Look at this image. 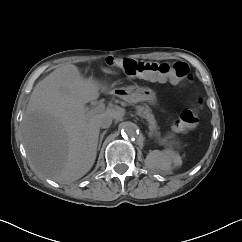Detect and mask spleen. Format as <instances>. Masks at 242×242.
I'll return each mask as SVG.
<instances>
[{
	"label": "spleen",
	"instance_id": "1",
	"mask_svg": "<svg viewBox=\"0 0 242 242\" xmlns=\"http://www.w3.org/2000/svg\"><path fill=\"white\" fill-rule=\"evenodd\" d=\"M180 160V156L171 150H154L149 153L146 162L151 168L160 169L162 171H170L172 163L177 165L180 163Z\"/></svg>",
	"mask_w": 242,
	"mask_h": 242
}]
</instances>
